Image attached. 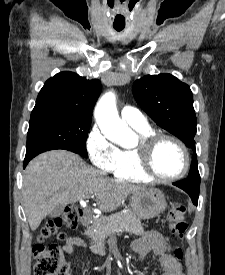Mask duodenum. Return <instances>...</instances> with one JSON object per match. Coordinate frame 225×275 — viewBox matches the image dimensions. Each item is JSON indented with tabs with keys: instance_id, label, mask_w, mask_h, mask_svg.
Instances as JSON below:
<instances>
[{
	"instance_id": "obj_1",
	"label": "duodenum",
	"mask_w": 225,
	"mask_h": 275,
	"mask_svg": "<svg viewBox=\"0 0 225 275\" xmlns=\"http://www.w3.org/2000/svg\"><path fill=\"white\" fill-rule=\"evenodd\" d=\"M79 221H80V223L82 224V225H85V226H87V225H89V223H90V218L86 215V213L85 212H80V216H79Z\"/></svg>"
}]
</instances>
